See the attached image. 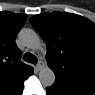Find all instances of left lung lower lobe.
<instances>
[{
    "instance_id": "1",
    "label": "left lung lower lobe",
    "mask_w": 95,
    "mask_h": 95,
    "mask_svg": "<svg viewBox=\"0 0 95 95\" xmlns=\"http://www.w3.org/2000/svg\"><path fill=\"white\" fill-rule=\"evenodd\" d=\"M95 86L70 79L55 80L46 88L47 95H94Z\"/></svg>"
}]
</instances>
